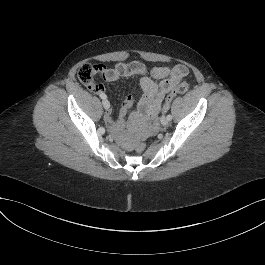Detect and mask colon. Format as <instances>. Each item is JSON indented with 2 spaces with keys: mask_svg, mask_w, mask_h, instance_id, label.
Returning a JSON list of instances; mask_svg holds the SVG:
<instances>
[{
  "mask_svg": "<svg viewBox=\"0 0 265 265\" xmlns=\"http://www.w3.org/2000/svg\"><path fill=\"white\" fill-rule=\"evenodd\" d=\"M101 74L99 65L84 64L78 70V79L88 87L95 84V79ZM188 84L185 82L177 84L167 95L162 105V111L165 112L169 109L172 100L179 94H183L188 90ZM135 150L138 153H143L146 150V144L144 142H137L135 144Z\"/></svg>",
  "mask_w": 265,
  "mask_h": 265,
  "instance_id": "1",
  "label": "colon"
}]
</instances>
